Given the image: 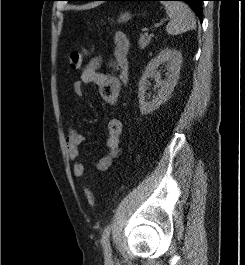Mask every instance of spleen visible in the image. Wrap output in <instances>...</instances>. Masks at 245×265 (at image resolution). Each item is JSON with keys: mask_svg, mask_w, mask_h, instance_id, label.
Returning <instances> with one entry per match:
<instances>
[{"mask_svg": "<svg viewBox=\"0 0 245 265\" xmlns=\"http://www.w3.org/2000/svg\"><path fill=\"white\" fill-rule=\"evenodd\" d=\"M162 3L170 18V22L166 26L168 34L178 35L196 27L195 15L188 5L179 1H164Z\"/></svg>", "mask_w": 245, "mask_h": 265, "instance_id": "spleen-1", "label": "spleen"}]
</instances>
